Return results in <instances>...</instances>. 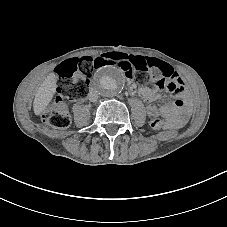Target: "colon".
<instances>
[{"instance_id": "1", "label": "colon", "mask_w": 227, "mask_h": 227, "mask_svg": "<svg viewBox=\"0 0 227 227\" xmlns=\"http://www.w3.org/2000/svg\"><path fill=\"white\" fill-rule=\"evenodd\" d=\"M104 65H114L126 77L144 84L152 82L156 88L169 93L177 94L183 89V81L174 68L153 57L110 52L95 58H73L64 61L57 68V94L54 101L42 111V120L56 129L67 128L71 123V116L66 100L83 103L87 98L93 69ZM169 126L168 121L161 118L151 121L154 129H166Z\"/></svg>"}]
</instances>
